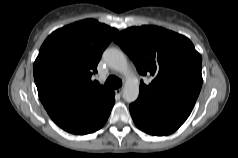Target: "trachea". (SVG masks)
Instances as JSON below:
<instances>
[{"instance_id": "3493384b", "label": "trachea", "mask_w": 238, "mask_h": 158, "mask_svg": "<svg viewBox=\"0 0 238 158\" xmlns=\"http://www.w3.org/2000/svg\"><path fill=\"white\" fill-rule=\"evenodd\" d=\"M105 85L110 88L117 89L122 86V81L116 76H109L106 80Z\"/></svg>"}]
</instances>
